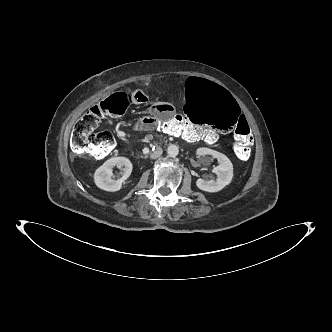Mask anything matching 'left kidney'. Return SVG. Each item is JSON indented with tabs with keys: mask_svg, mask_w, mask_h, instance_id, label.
I'll list each match as a JSON object with an SVG mask.
<instances>
[{
	"mask_svg": "<svg viewBox=\"0 0 332 332\" xmlns=\"http://www.w3.org/2000/svg\"><path fill=\"white\" fill-rule=\"evenodd\" d=\"M196 153L199 157H203V163H208L213 158L217 159L219 162V165L212 170V172L217 175L216 180H203L200 178L196 181V186L200 190L206 192H218L230 184L233 178V165L228 157L209 148H199Z\"/></svg>",
	"mask_w": 332,
	"mask_h": 332,
	"instance_id": "left-kidney-1",
	"label": "left kidney"
}]
</instances>
